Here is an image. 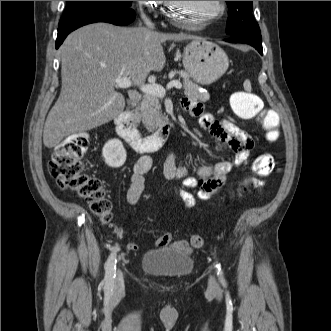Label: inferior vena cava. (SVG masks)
Returning a JSON list of instances; mask_svg holds the SVG:
<instances>
[{
  "label": "inferior vena cava",
  "mask_w": 331,
  "mask_h": 331,
  "mask_svg": "<svg viewBox=\"0 0 331 331\" xmlns=\"http://www.w3.org/2000/svg\"><path fill=\"white\" fill-rule=\"evenodd\" d=\"M144 22L146 23V25L148 26V28L153 29L154 25L151 23V21L146 18L145 16H143Z\"/></svg>",
  "instance_id": "602c4592"
}]
</instances>
